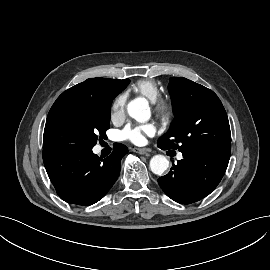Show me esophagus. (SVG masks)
Here are the masks:
<instances>
[{"label": "esophagus", "mask_w": 270, "mask_h": 270, "mask_svg": "<svg viewBox=\"0 0 270 270\" xmlns=\"http://www.w3.org/2000/svg\"><path fill=\"white\" fill-rule=\"evenodd\" d=\"M134 152L141 154V155H148L151 153V149L148 148H135Z\"/></svg>", "instance_id": "obj_1"}]
</instances>
